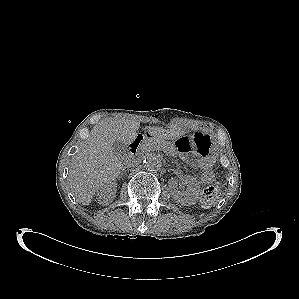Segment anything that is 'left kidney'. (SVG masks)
<instances>
[{
    "label": "left kidney",
    "instance_id": "left-kidney-1",
    "mask_svg": "<svg viewBox=\"0 0 299 299\" xmlns=\"http://www.w3.org/2000/svg\"><path fill=\"white\" fill-rule=\"evenodd\" d=\"M183 182L187 186V191L182 193L177 190V182L172 178L169 180V189L173 199L185 206H190L196 203L200 195V187L195 178L190 175L183 177Z\"/></svg>",
    "mask_w": 299,
    "mask_h": 299
}]
</instances>
